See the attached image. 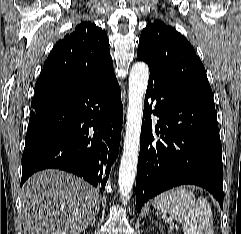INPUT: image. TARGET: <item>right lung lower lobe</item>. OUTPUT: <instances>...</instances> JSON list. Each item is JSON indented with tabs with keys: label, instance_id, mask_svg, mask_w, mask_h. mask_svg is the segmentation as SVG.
Instances as JSON below:
<instances>
[{
	"label": "right lung lower lobe",
	"instance_id": "obj_1",
	"mask_svg": "<svg viewBox=\"0 0 241 234\" xmlns=\"http://www.w3.org/2000/svg\"><path fill=\"white\" fill-rule=\"evenodd\" d=\"M115 74L67 95L33 101L22 155L21 186L33 173L61 169L101 193L117 158L123 105Z\"/></svg>",
	"mask_w": 241,
	"mask_h": 234
}]
</instances>
